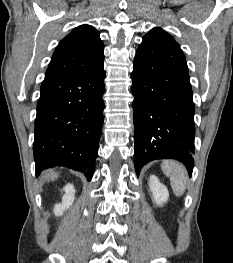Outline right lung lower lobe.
<instances>
[{
    "label": "right lung lower lobe",
    "instance_id": "obj_1",
    "mask_svg": "<svg viewBox=\"0 0 233 263\" xmlns=\"http://www.w3.org/2000/svg\"><path fill=\"white\" fill-rule=\"evenodd\" d=\"M103 63L87 75L42 82L33 143L37 176L46 168L65 166L91 180L103 123Z\"/></svg>",
    "mask_w": 233,
    "mask_h": 263
}]
</instances>
